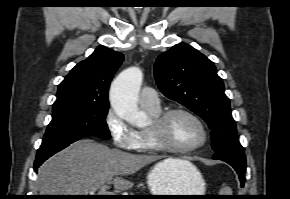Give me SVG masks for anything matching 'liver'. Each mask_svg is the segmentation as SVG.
<instances>
[{
	"label": "liver",
	"mask_w": 290,
	"mask_h": 199,
	"mask_svg": "<svg viewBox=\"0 0 290 199\" xmlns=\"http://www.w3.org/2000/svg\"><path fill=\"white\" fill-rule=\"evenodd\" d=\"M160 158L110 149L92 139H82L42 164L38 170L40 195H94L91 193L108 182L118 191L128 190L133 182L123 176ZM163 162L173 169L192 165L175 158Z\"/></svg>",
	"instance_id": "1"
}]
</instances>
